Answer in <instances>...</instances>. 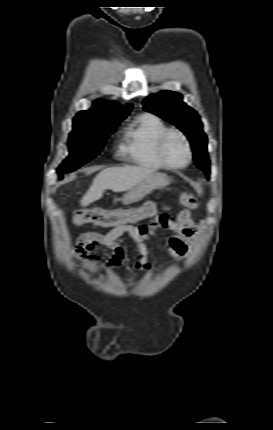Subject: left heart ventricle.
<instances>
[{"label":"left heart ventricle","mask_w":273,"mask_h":430,"mask_svg":"<svg viewBox=\"0 0 273 430\" xmlns=\"http://www.w3.org/2000/svg\"><path fill=\"white\" fill-rule=\"evenodd\" d=\"M164 153L172 164H182L186 160V148L178 135H171L165 142Z\"/></svg>","instance_id":"left-heart-ventricle-1"}]
</instances>
